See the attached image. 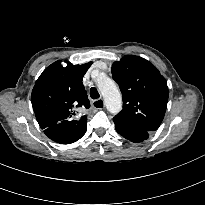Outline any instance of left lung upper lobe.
I'll list each match as a JSON object with an SVG mask.
<instances>
[{"instance_id": "left-lung-upper-lobe-1", "label": "left lung upper lobe", "mask_w": 205, "mask_h": 205, "mask_svg": "<svg viewBox=\"0 0 205 205\" xmlns=\"http://www.w3.org/2000/svg\"><path fill=\"white\" fill-rule=\"evenodd\" d=\"M111 72L123 97V109L115 118L150 132L157 130L169 95L158 69L142 57L126 55L113 63Z\"/></svg>"}]
</instances>
